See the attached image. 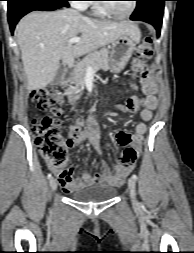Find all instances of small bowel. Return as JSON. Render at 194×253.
Here are the masks:
<instances>
[{"label":"small bowel","instance_id":"1","mask_svg":"<svg viewBox=\"0 0 194 253\" xmlns=\"http://www.w3.org/2000/svg\"><path fill=\"white\" fill-rule=\"evenodd\" d=\"M140 82L145 96L143 98L126 97L127 103L117 107V110L121 112H139L140 114L142 121L136 125L133 133L122 129L116 133L117 143L120 146L134 149L137 155L141 153L142 139L148 130L146 123L152 118V112L158 106L157 86L154 80L145 72L141 75ZM86 140L90 141L95 151L100 154V128L96 118L90 119L87 129L80 130L77 136L67 139L66 146L75 149ZM134 165L122 169L116 168L115 172H112L107 164L102 162L101 173L91 175L84 172L80 178H75L73 168L58 169L48 163L49 168L56 174L63 191L66 193H72L93 184L119 185L133 170Z\"/></svg>","mask_w":194,"mask_h":253}]
</instances>
